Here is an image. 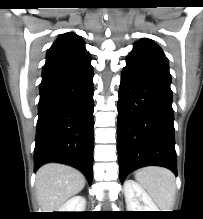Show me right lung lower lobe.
<instances>
[{"mask_svg":"<svg viewBox=\"0 0 203 219\" xmlns=\"http://www.w3.org/2000/svg\"><path fill=\"white\" fill-rule=\"evenodd\" d=\"M93 70L90 59L43 68L34 171L48 162L79 169L92 182Z\"/></svg>","mask_w":203,"mask_h":219,"instance_id":"obj_1","label":"right lung lower lobe"}]
</instances>
